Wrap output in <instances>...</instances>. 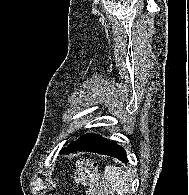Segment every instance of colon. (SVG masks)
<instances>
[{
    "instance_id": "1",
    "label": "colon",
    "mask_w": 189,
    "mask_h": 195,
    "mask_svg": "<svg viewBox=\"0 0 189 195\" xmlns=\"http://www.w3.org/2000/svg\"><path fill=\"white\" fill-rule=\"evenodd\" d=\"M73 177L76 182L88 185V195H108L107 179L94 173L88 159H81L76 163Z\"/></svg>"
}]
</instances>
